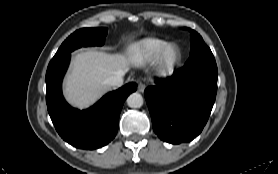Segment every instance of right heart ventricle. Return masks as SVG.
<instances>
[{
	"label": "right heart ventricle",
	"instance_id": "right-heart-ventricle-1",
	"mask_svg": "<svg viewBox=\"0 0 278 174\" xmlns=\"http://www.w3.org/2000/svg\"><path fill=\"white\" fill-rule=\"evenodd\" d=\"M167 43L166 40L157 37L144 38L132 45L131 54L139 62L149 64L155 60L158 52Z\"/></svg>",
	"mask_w": 278,
	"mask_h": 174
}]
</instances>
